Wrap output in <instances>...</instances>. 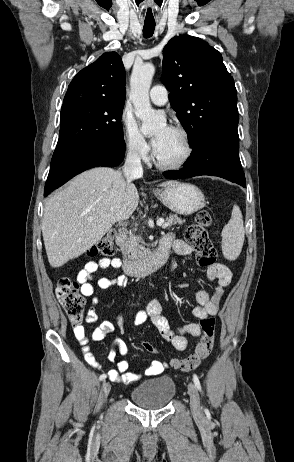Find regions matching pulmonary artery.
I'll return each instance as SVG.
<instances>
[{
  "mask_svg": "<svg viewBox=\"0 0 294 462\" xmlns=\"http://www.w3.org/2000/svg\"><path fill=\"white\" fill-rule=\"evenodd\" d=\"M151 101L156 105H164L168 101V91L163 85H155L149 92Z\"/></svg>",
  "mask_w": 294,
  "mask_h": 462,
  "instance_id": "e3ab8cb5",
  "label": "pulmonary artery"
}]
</instances>
